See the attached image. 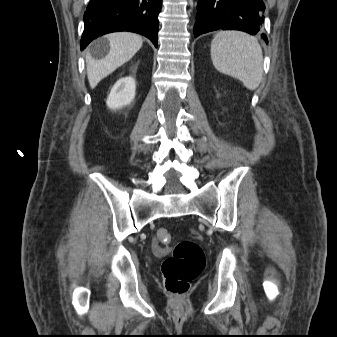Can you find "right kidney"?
I'll return each mask as SVG.
<instances>
[{"mask_svg":"<svg viewBox=\"0 0 337 337\" xmlns=\"http://www.w3.org/2000/svg\"><path fill=\"white\" fill-rule=\"evenodd\" d=\"M136 84L133 77L120 78L112 87L106 104L110 109H120L135 98Z\"/></svg>","mask_w":337,"mask_h":337,"instance_id":"right-kidney-1","label":"right kidney"}]
</instances>
